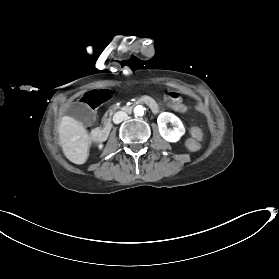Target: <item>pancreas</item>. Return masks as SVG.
Here are the masks:
<instances>
[{"label":"pancreas","mask_w":279,"mask_h":279,"mask_svg":"<svg viewBox=\"0 0 279 279\" xmlns=\"http://www.w3.org/2000/svg\"><path fill=\"white\" fill-rule=\"evenodd\" d=\"M117 109V107H112L108 110L109 114H112L115 110Z\"/></svg>","instance_id":"obj_1"}]
</instances>
